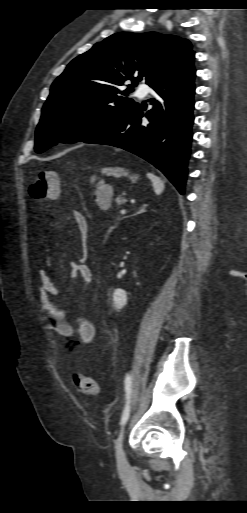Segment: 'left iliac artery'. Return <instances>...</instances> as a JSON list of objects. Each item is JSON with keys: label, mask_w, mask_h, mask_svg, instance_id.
<instances>
[{"label": "left iliac artery", "mask_w": 247, "mask_h": 513, "mask_svg": "<svg viewBox=\"0 0 247 513\" xmlns=\"http://www.w3.org/2000/svg\"><path fill=\"white\" fill-rule=\"evenodd\" d=\"M125 392H126V404H125V407H124V410H123V413H122V416H121V425L124 424L128 418H129V414H130V402H131V393H132V376L131 374H126L125 376Z\"/></svg>", "instance_id": "44dca946"}]
</instances>
